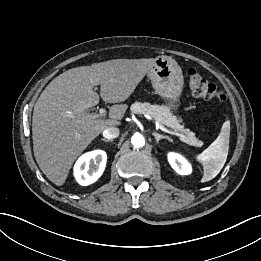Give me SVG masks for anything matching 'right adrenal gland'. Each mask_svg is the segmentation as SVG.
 Instances as JSON below:
<instances>
[{"instance_id": "right-adrenal-gland-1", "label": "right adrenal gland", "mask_w": 261, "mask_h": 261, "mask_svg": "<svg viewBox=\"0 0 261 261\" xmlns=\"http://www.w3.org/2000/svg\"><path fill=\"white\" fill-rule=\"evenodd\" d=\"M101 140L104 141V142H112L113 141V140H107V139H104V138H102Z\"/></svg>"}]
</instances>
